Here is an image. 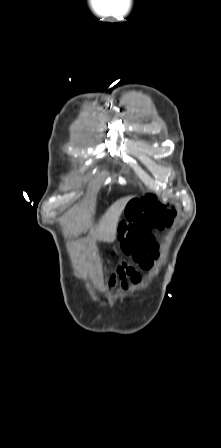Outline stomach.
Listing matches in <instances>:
<instances>
[{"label":"stomach","instance_id":"0dacf381","mask_svg":"<svg viewBox=\"0 0 221 448\" xmlns=\"http://www.w3.org/2000/svg\"><path fill=\"white\" fill-rule=\"evenodd\" d=\"M133 205V200H131L128 204L126 208H130Z\"/></svg>","mask_w":221,"mask_h":448}]
</instances>
